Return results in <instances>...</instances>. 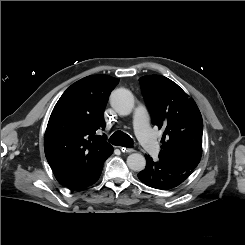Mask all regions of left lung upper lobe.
Listing matches in <instances>:
<instances>
[{"mask_svg": "<svg viewBox=\"0 0 245 245\" xmlns=\"http://www.w3.org/2000/svg\"><path fill=\"white\" fill-rule=\"evenodd\" d=\"M152 121L163 129L159 158L192 173L202 156L203 120L192 98L161 75L140 78Z\"/></svg>", "mask_w": 245, "mask_h": 245, "instance_id": "obj_1", "label": "left lung upper lobe"}]
</instances>
